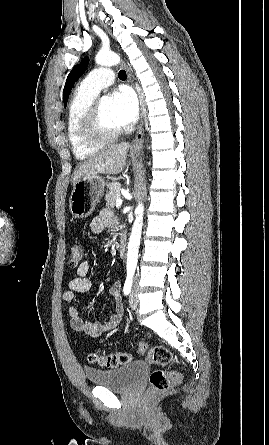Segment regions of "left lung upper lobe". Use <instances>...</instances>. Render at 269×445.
I'll return each instance as SVG.
<instances>
[{"instance_id": "left-lung-upper-lobe-1", "label": "left lung upper lobe", "mask_w": 269, "mask_h": 445, "mask_svg": "<svg viewBox=\"0 0 269 445\" xmlns=\"http://www.w3.org/2000/svg\"><path fill=\"white\" fill-rule=\"evenodd\" d=\"M89 63L88 57H85L82 59V62L78 65H76L70 74L67 77L64 90H63V100H64V106L66 107L68 97L70 94L71 89L74 86V83L84 74L85 70L87 69Z\"/></svg>"}]
</instances>
